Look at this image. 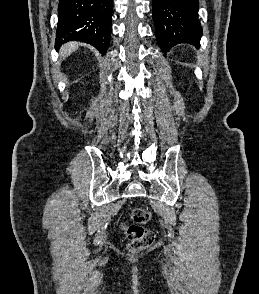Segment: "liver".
Instances as JSON below:
<instances>
[{
    "instance_id": "liver-1",
    "label": "liver",
    "mask_w": 259,
    "mask_h": 294,
    "mask_svg": "<svg viewBox=\"0 0 259 294\" xmlns=\"http://www.w3.org/2000/svg\"><path fill=\"white\" fill-rule=\"evenodd\" d=\"M79 43L77 42H69L65 45H63L60 49L61 58L68 57L72 52H74L78 47Z\"/></svg>"
}]
</instances>
